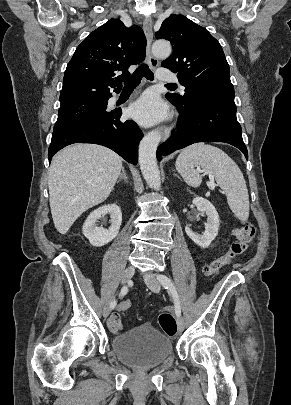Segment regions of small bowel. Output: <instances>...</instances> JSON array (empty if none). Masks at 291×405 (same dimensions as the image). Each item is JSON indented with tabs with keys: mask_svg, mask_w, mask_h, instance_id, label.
I'll return each instance as SVG.
<instances>
[{
	"mask_svg": "<svg viewBox=\"0 0 291 405\" xmlns=\"http://www.w3.org/2000/svg\"><path fill=\"white\" fill-rule=\"evenodd\" d=\"M171 308H165L166 311H169ZM108 328L111 332L117 333L122 330V323L119 317H111L108 321Z\"/></svg>",
	"mask_w": 291,
	"mask_h": 405,
	"instance_id": "c3829d8e",
	"label": "small bowel"
}]
</instances>
